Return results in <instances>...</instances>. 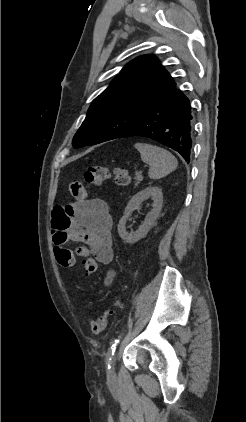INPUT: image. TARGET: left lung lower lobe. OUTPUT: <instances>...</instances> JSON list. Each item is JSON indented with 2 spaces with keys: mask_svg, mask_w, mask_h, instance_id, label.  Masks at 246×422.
Returning a JSON list of instances; mask_svg holds the SVG:
<instances>
[{
  "mask_svg": "<svg viewBox=\"0 0 246 422\" xmlns=\"http://www.w3.org/2000/svg\"><path fill=\"white\" fill-rule=\"evenodd\" d=\"M192 133L190 101L173 81L150 109L118 138H151L174 149L189 163Z\"/></svg>",
  "mask_w": 246,
  "mask_h": 422,
  "instance_id": "obj_1",
  "label": "left lung lower lobe"
}]
</instances>
